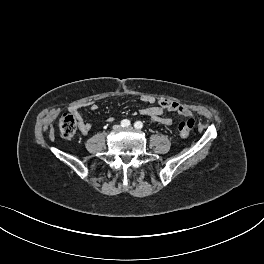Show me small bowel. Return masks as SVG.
<instances>
[{
    "label": "small bowel",
    "instance_id": "1",
    "mask_svg": "<svg viewBox=\"0 0 264 264\" xmlns=\"http://www.w3.org/2000/svg\"><path fill=\"white\" fill-rule=\"evenodd\" d=\"M142 100L145 103L153 104L155 99L153 97H143ZM85 106L89 107L92 111H96L98 109L97 104L95 103H87ZM164 110L168 111H178L185 116H190L191 112L186 107L182 106L181 104L170 101V100H162L160 101L159 105L157 106H147L140 109V114L147 116L160 124L169 126L172 124V119L168 117H164L163 113ZM77 119L79 121V129L82 134L86 135L90 132L92 125L89 122L84 121L81 114L78 111H75ZM112 118H109L110 121Z\"/></svg>",
    "mask_w": 264,
    "mask_h": 264
}]
</instances>
